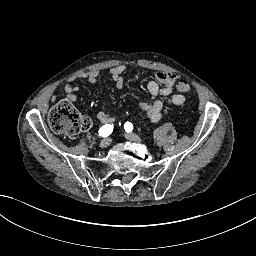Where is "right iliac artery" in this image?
<instances>
[{
  "label": "right iliac artery",
  "instance_id": "82829eb1",
  "mask_svg": "<svg viewBox=\"0 0 256 256\" xmlns=\"http://www.w3.org/2000/svg\"><path fill=\"white\" fill-rule=\"evenodd\" d=\"M113 131V125L106 124L99 129V135L102 137L109 136Z\"/></svg>",
  "mask_w": 256,
  "mask_h": 256
}]
</instances>
